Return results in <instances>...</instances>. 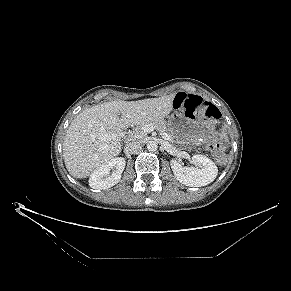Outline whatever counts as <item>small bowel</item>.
I'll use <instances>...</instances> for the list:
<instances>
[{"mask_svg":"<svg viewBox=\"0 0 291 291\" xmlns=\"http://www.w3.org/2000/svg\"><path fill=\"white\" fill-rule=\"evenodd\" d=\"M183 94H185V95H190V96H196V95H193V94H186V93H183Z\"/></svg>","mask_w":291,"mask_h":291,"instance_id":"obj_1","label":"small bowel"}]
</instances>
